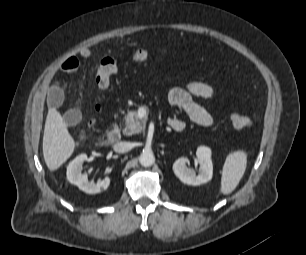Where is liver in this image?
Segmentation results:
<instances>
[{"mask_svg": "<svg viewBox=\"0 0 306 255\" xmlns=\"http://www.w3.org/2000/svg\"><path fill=\"white\" fill-rule=\"evenodd\" d=\"M75 149V141L60 112L50 108L45 121L43 156L49 170L54 171L64 164Z\"/></svg>", "mask_w": 306, "mask_h": 255, "instance_id": "liver-1", "label": "liver"}]
</instances>
